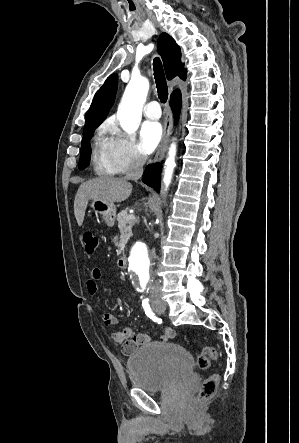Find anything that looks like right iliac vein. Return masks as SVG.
Here are the masks:
<instances>
[{
    "label": "right iliac vein",
    "instance_id": "63e3f726",
    "mask_svg": "<svg viewBox=\"0 0 299 443\" xmlns=\"http://www.w3.org/2000/svg\"><path fill=\"white\" fill-rule=\"evenodd\" d=\"M156 308H157L159 311L163 312V311H165L166 306H165L164 304H157V305H156Z\"/></svg>",
    "mask_w": 299,
    "mask_h": 443
}]
</instances>
